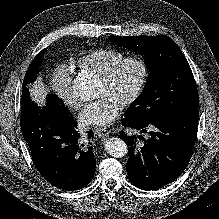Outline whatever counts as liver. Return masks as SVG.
<instances>
[{
    "mask_svg": "<svg viewBox=\"0 0 219 219\" xmlns=\"http://www.w3.org/2000/svg\"><path fill=\"white\" fill-rule=\"evenodd\" d=\"M31 98L35 101L39 106H44L46 103V95L49 90L43 82V79L39 77L33 84L28 86Z\"/></svg>",
    "mask_w": 219,
    "mask_h": 219,
    "instance_id": "obj_1",
    "label": "liver"
}]
</instances>
